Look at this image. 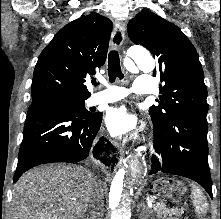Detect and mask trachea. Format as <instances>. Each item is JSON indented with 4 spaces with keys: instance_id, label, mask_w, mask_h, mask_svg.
<instances>
[{
    "instance_id": "obj_1",
    "label": "trachea",
    "mask_w": 221,
    "mask_h": 219,
    "mask_svg": "<svg viewBox=\"0 0 221 219\" xmlns=\"http://www.w3.org/2000/svg\"><path fill=\"white\" fill-rule=\"evenodd\" d=\"M108 75L110 82H114L117 77L120 79L124 78L121 71L119 54L116 50H112L108 55ZM93 84L97 85L96 81Z\"/></svg>"
}]
</instances>
